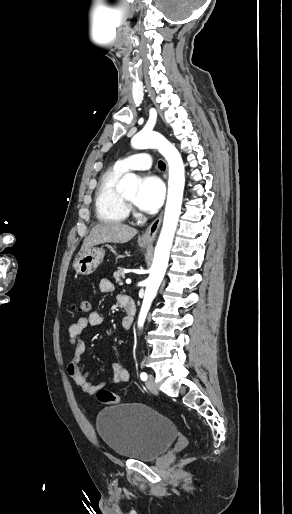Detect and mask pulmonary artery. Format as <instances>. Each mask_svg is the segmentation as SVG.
I'll return each mask as SVG.
<instances>
[{
  "label": "pulmonary artery",
  "mask_w": 292,
  "mask_h": 514,
  "mask_svg": "<svg viewBox=\"0 0 292 514\" xmlns=\"http://www.w3.org/2000/svg\"><path fill=\"white\" fill-rule=\"evenodd\" d=\"M130 157L133 160H139L135 162H130L128 164V169L130 171L135 172H149L151 169V164L148 161L151 158V153L147 150H139V151H133L130 154ZM115 169L117 171H120L124 173L126 171V168H124V164L122 162H117L115 164Z\"/></svg>",
  "instance_id": "obj_1"
}]
</instances>
